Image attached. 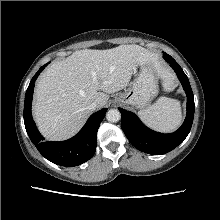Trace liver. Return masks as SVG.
Wrapping results in <instances>:
<instances>
[{"label":"liver","mask_w":220,"mask_h":220,"mask_svg":"<svg viewBox=\"0 0 220 220\" xmlns=\"http://www.w3.org/2000/svg\"><path fill=\"white\" fill-rule=\"evenodd\" d=\"M147 63H152L150 55L135 44L83 49L53 63L35 88L33 116L40 132L49 140L72 137L90 116L91 103L103 108L108 94L124 89L136 67Z\"/></svg>","instance_id":"1"}]
</instances>
